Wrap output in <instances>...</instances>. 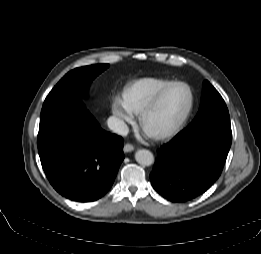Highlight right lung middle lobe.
I'll list each match as a JSON object with an SVG mask.
<instances>
[{
  "label": "right lung middle lobe",
  "instance_id": "dd1d6c3e",
  "mask_svg": "<svg viewBox=\"0 0 261 254\" xmlns=\"http://www.w3.org/2000/svg\"><path fill=\"white\" fill-rule=\"evenodd\" d=\"M108 67L109 64H98L68 72L51 90L44 103L82 97L92 80Z\"/></svg>",
  "mask_w": 261,
  "mask_h": 254
}]
</instances>
